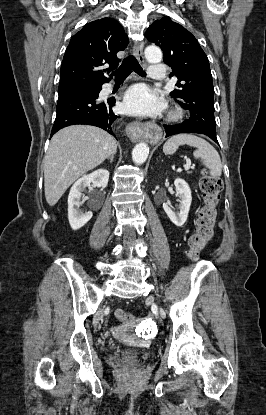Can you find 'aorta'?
<instances>
[{
  "instance_id": "aorta-1",
  "label": "aorta",
  "mask_w": 266,
  "mask_h": 415,
  "mask_svg": "<svg viewBox=\"0 0 266 415\" xmlns=\"http://www.w3.org/2000/svg\"><path fill=\"white\" fill-rule=\"evenodd\" d=\"M145 57L150 63H158L162 59V52L158 47L149 46L145 49ZM149 154V147L145 143L137 144L132 151V159L136 164H143Z\"/></svg>"
}]
</instances>
